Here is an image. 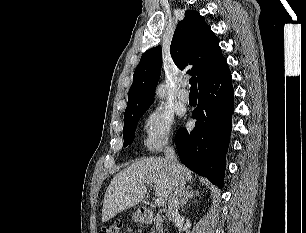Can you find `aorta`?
I'll return each mask as SVG.
<instances>
[{
    "instance_id": "762f6f07",
    "label": "aorta",
    "mask_w": 306,
    "mask_h": 233,
    "mask_svg": "<svg viewBox=\"0 0 306 233\" xmlns=\"http://www.w3.org/2000/svg\"><path fill=\"white\" fill-rule=\"evenodd\" d=\"M157 94L160 96V97H163L165 95V89H164V86L163 85H160L158 88H157Z\"/></svg>"
}]
</instances>
